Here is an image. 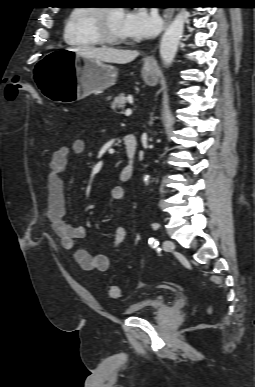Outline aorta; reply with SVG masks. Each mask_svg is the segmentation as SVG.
<instances>
[{"label": "aorta", "mask_w": 255, "mask_h": 387, "mask_svg": "<svg viewBox=\"0 0 255 387\" xmlns=\"http://www.w3.org/2000/svg\"><path fill=\"white\" fill-rule=\"evenodd\" d=\"M185 11H180L166 29L161 43L160 56L165 65H171L176 56L180 40L184 32ZM144 182L148 184V176H144Z\"/></svg>", "instance_id": "obj_1"}]
</instances>
